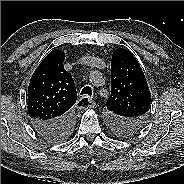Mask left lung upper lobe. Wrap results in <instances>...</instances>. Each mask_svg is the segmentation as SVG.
Here are the masks:
<instances>
[{"label":"left lung upper lobe","instance_id":"5c2ea615","mask_svg":"<svg viewBox=\"0 0 184 184\" xmlns=\"http://www.w3.org/2000/svg\"><path fill=\"white\" fill-rule=\"evenodd\" d=\"M151 94L144 73L127 49H116L111 60V95L106 103L108 122L118 135L137 132L145 123Z\"/></svg>","mask_w":184,"mask_h":184}]
</instances>
